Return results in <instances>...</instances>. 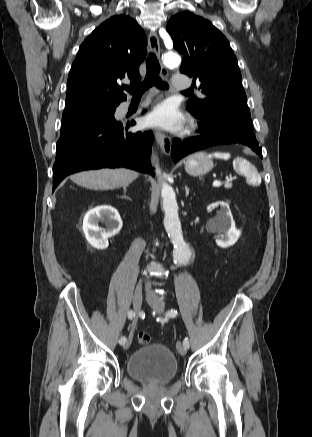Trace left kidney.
I'll use <instances>...</instances> for the list:
<instances>
[{
  "instance_id": "5707ae66",
  "label": "left kidney",
  "mask_w": 312,
  "mask_h": 437,
  "mask_svg": "<svg viewBox=\"0 0 312 437\" xmlns=\"http://www.w3.org/2000/svg\"><path fill=\"white\" fill-rule=\"evenodd\" d=\"M214 206H220V210L215 218L209 220L208 225L211 232L221 234L220 238L216 239V244L222 248L232 246L237 242L241 231L235 227L233 216L226 202L218 201L208 208Z\"/></svg>"
}]
</instances>
